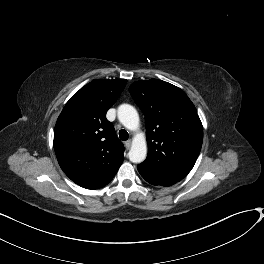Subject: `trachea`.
<instances>
[{"label": "trachea", "mask_w": 264, "mask_h": 264, "mask_svg": "<svg viewBox=\"0 0 264 264\" xmlns=\"http://www.w3.org/2000/svg\"><path fill=\"white\" fill-rule=\"evenodd\" d=\"M119 138L122 140V141H126L128 138H129V134L126 130L124 129H121L119 131Z\"/></svg>", "instance_id": "1"}]
</instances>
